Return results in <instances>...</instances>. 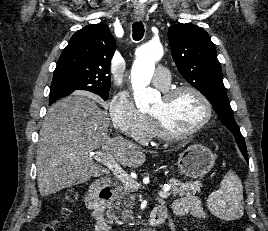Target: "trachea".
<instances>
[{"mask_svg": "<svg viewBox=\"0 0 268 231\" xmlns=\"http://www.w3.org/2000/svg\"><path fill=\"white\" fill-rule=\"evenodd\" d=\"M133 34L132 37L135 41L141 40L144 35V25L142 22H135L132 26Z\"/></svg>", "mask_w": 268, "mask_h": 231, "instance_id": "trachea-1", "label": "trachea"}]
</instances>
